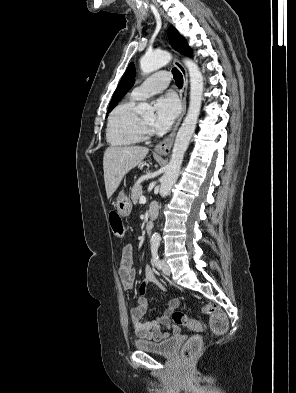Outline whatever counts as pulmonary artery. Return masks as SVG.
Masks as SVG:
<instances>
[{
    "mask_svg": "<svg viewBox=\"0 0 296 393\" xmlns=\"http://www.w3.org/2000/svg\"><path fill=\"white\" fill-rule=\"evenodd\" d=\"M170 81L171 78L168 73L166 72L155 73L150 77H148L140 85L136 86L131 91L130 97L136 101L143 100L167 88Z\"/></svg>",
    "mask_w": 296,
    "mask_h": 393,
    "instance_id": "pulmonary-artery-1",
    "label": "pulmonary artery"
}]
</instances>
